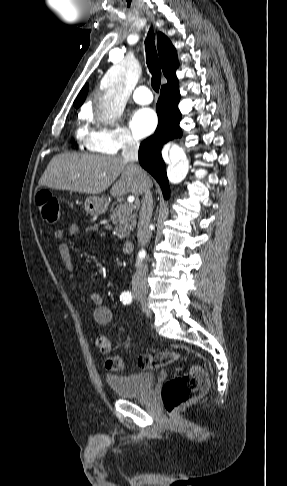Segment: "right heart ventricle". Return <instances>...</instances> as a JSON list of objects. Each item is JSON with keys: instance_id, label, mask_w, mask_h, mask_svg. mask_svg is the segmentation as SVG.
I'll list each match as a JSON object with an SVG mask.
<instances>
[{"instance_id": "1", "label": "right heart ventricle", "mask_w": 287, "mask_h": 486, "mask_svg": "<svg viewBox=\"0 0 287 486\" xmlns=\"http://www.w3.org/2000/svg\"><path fill=\"white\" fill-rule=\"evenodd\" d=\"M89 132L90 131L87 128L80 127L76 131V137L85 143L89 137Z\"/></svg>"}]
</instances>
